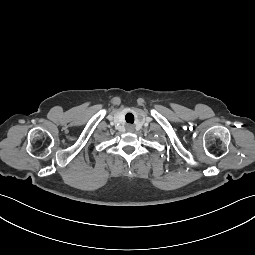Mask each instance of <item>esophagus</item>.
<instances>
[{
  "mask_svg": "<svg viewBox=\"0 0 255 255\" xmlns=\"http://www.w3.org/2000/svg\"><path fill=\"white\" fill-rule=\"evenodd\" d=\"M128 129H129L130 131H132V130H133V126H132V125H129V126H128Z\"/></svg>",
  "mask_w": 255,
  "mask_h": 255,
  "instance_id": "esophagus-1",
  "label": "esophagus"
}]
</instances>
